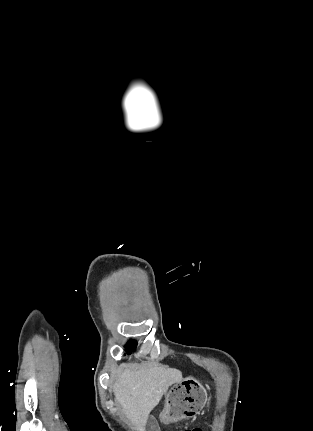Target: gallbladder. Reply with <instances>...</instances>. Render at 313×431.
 <instances>
[{
	"instance_id": "obj_1",
	"label": "gallbladder",
	"mask_w": 313,
	"mask_h": 431,
	"mask_svg": "<svg viewBox=\"0 0 313 431\" xmlns=\"http://www.w3.org/2000/svg\"><path fill=\"white\" fill-rule=\"evenodd\" d=\"M147 428L148 431H157L158 427L155 418L151 417L148 419Z\"/></svg>"
}]
</instances>
